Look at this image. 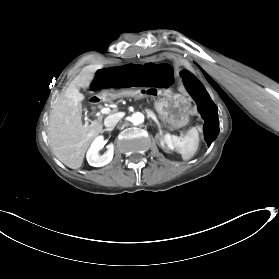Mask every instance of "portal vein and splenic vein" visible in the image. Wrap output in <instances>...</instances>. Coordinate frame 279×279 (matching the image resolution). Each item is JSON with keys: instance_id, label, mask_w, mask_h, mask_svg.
I'll return each mask as SVG.
<instances>
[{"instance_id": "portal-vein-and-splenic-vein-1", "label": "portal vein and splenic vein", "mask_w": 279, "mask_h": 279, "mask_svg": "<svg viewBox=\"0 0 279 279\" xmlns=\"http://www.w3.org/2000/svg\"><path fill=\"white\" fill-rule=\"evenodd\" d=\"M110 112V108H103L101 109L102 114H108Z\"/></svg>"}]
</instances>
